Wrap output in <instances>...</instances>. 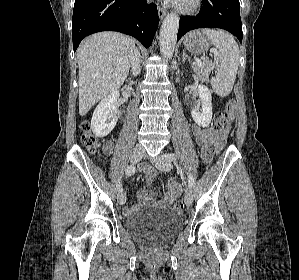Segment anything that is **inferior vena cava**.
<instances>
[{"instance_id":"obj_1","label":"inferior vena cava","mask_w":299,"mask_h":280,"mask_svg":"<svg viewBox=\"0 0 299 280\" xmlns=\"http://www.w3.org/2000/svg\"><path fill=\"white\" fill-rule=\"evenodd\" d=\"M131 71L134 76H137L141 71V69H140V53L138 50H136L132 56Z\"/></svg>"}]
</instances>
